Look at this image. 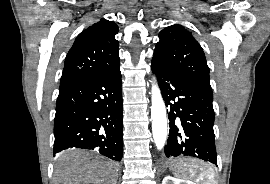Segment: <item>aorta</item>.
Segmentation results:
<instances>
[{
	"label": "aorta",
	"instance_id": "aorta-1",
	"mask_svg": "<svg viewBox=\"0 0 270 184\" xmlns=\"http://www.w3.org/2000/svg\"><path fill=\"white\" fill-rule=\"evenodd\" d=\"M151 101L153 139L157 149L161 150L164 147L167 139V117L164 101L155 82L152 85Z\"/></svg>",
	"mask_w": 270,
	"mask_h": 184
}]
</instances>
